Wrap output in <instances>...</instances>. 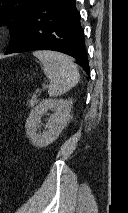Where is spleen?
I'll list each match as a JSON object with an SVG mask.
<instances>
[{
    "instance_id": "spleen-1",
    "label": "spleen",
    "mask_w": 128,
    "mask_h": 213,
    "mask_svg": "<svg viewBox=\"0 0 128 213\" xmlns=\"http://www.w3.org/2000/svg\"><path fill=\"white\" fill-rule=\"evenodd\" d=\"M33 55L41 61L44 73L51 81L49 96H60L79 82L80 74L71 57L54 51H34Z\"/></svg>"
}]
</instances>
